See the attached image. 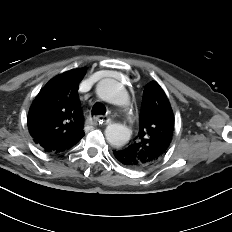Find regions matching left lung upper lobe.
I'll return each instance as SVG.
<instances>
[{"mask_svg":"<svg viewBox=\"0 0 232 232\" xmlns=\"http://www.w3.org/2000/svg\"><path fill=\"white\" fill-rule=\"evenodd\" d=\"M139 132L124 148L137 162V169L149 167L167 152L174 131V115L168 98L157 82L148 83L143 91Z\"/></svg>","mask_w":232,"mask_h":232,"instance_id":"1","label":"left lung upper lobe"}]
</instances>
